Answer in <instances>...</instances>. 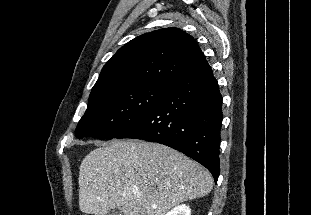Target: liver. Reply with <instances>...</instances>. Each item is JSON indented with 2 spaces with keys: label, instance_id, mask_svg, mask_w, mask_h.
<instances>
[{
  "label": "liver",
  "instance_id": "6515ba94",
  "mask_svg": "<svg viewBox=\"0 0 311 215\" xmlns=\"http://www.w3.org/2000/svg\"><path fill=\"white\" fill-rule=\"evenodd\" d=\"M79 207L87 214L166 215L174 206L203 197L211 174L167 146L113 140L91 151L79 168Z\"/></svg>",
  "mask_w": 311,
  "mask_h": 215
}]
</instances>
